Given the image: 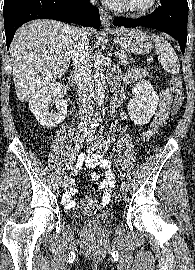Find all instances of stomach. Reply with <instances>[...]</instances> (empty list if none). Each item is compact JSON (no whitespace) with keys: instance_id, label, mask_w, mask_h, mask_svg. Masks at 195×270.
<instances>
[{"instance_id":"1","label":"stomach","mask_w":195,"mask_h":270,"mask_svg":"<svg viewBox=\"0 0 195 270\" xmlns=\"http://www.w3.org/2000/svg\"><path fill=\"white\" fill-rule=\"evenodd\" d=\"M114 35L119 46L129 53L147 54L153 47L149 37L140 29H118Z\"/></svg>"}]
</instances>
